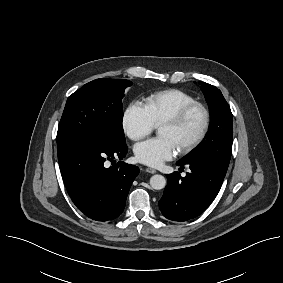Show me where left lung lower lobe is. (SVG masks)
Here are the masks:
<instances>
[{
	"instance_id": "1",
	"label": "left lung lower lobe",
	"mask_w": 283,
	"mask_h": 283,
	"mask_svg": "<svg viewBox=\"0 0 283 283\" xmlns=\"http://www.w3.org/2000/svg\"><path fill=\"white\" fill-rule=\"evenodd\" d=\"M189 165L191 172L181 177L179 172L166 175L164 194L159 201L162 214L169 220L186 221L199 216L217 196L227 169L208 161L177 162Z\"/></svg>"
}]
</instances>
